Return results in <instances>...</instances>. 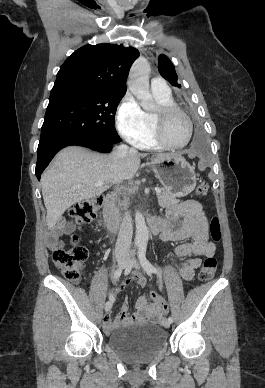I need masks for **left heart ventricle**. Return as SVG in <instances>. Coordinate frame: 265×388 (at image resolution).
Here are the masks:
<instances>
[{
    "label": "left heart ventricle",
    "instance_id": "obj_1",
    "mask_svg": "<svg viewBox=\"0 0 265 388\" xmlns=\"http://www.w3.org/2000/svg\"><path fill=\"white\" fill-rule=\"evenodd\" d=\"M152 97L154 98L153 94H152ZM160 126H161L162 134L168 143L172 145H179L185 141V138H186L185 121L182 115L179 114L178 112L172 111V112L160 115Z\"/></svg>",
    "mask_w": 265,
    "mask_h": 388
}]
</instances>
